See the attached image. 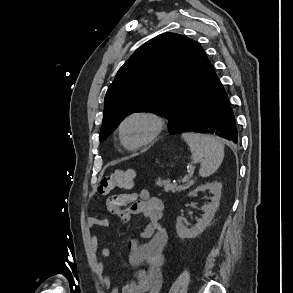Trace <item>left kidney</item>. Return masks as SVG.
Listing matches in <instances>:
<instances>
[{
  "mask_svg": "<svg viewBox=\"0 0 293 293\" xmlns=\"http://www.w3.org/2000/svg\"><path fill=\"white\" fill-rule=\"evenodd\" d=\"M206 190H209L213 194V197L211 198V202L209 204H205L202 207V210L205 214L201 219L197 220V223L194 227L188 228L184 224L183 217H177L176 231L181 239H191L198 236L203 232V230L210 224L211 220L213 219L221 199L222 184L220 182L207 183L198 186L195 190L189 192L188 196L191 197L200 191Z\"/></svg>",
  "mask_w": 293,
  "mask_h": 293,
  "instance_id": "5707ae66",
  "label": "left kidney"
}]
</instances>
